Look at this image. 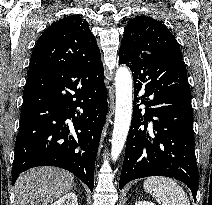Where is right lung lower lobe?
I'll use <instances>...</instances> for the list:
<instances>
[{"label":"right lung lower lobe","mask_w":212,"mask_h":205,"mask_svg":"<svg viewBox=\"0 0 212 205\" xmlns=\"http://www.w3.org/2000/svg\"><path fill=\"white\" fill-rule=\"evenodd\" d=\"M106 113L103 64L51 69L28 76L12 184L27 169L57 166L76 175L93 191Z\"/></svg>","instance_id":"obj_1"}]
</instances>
